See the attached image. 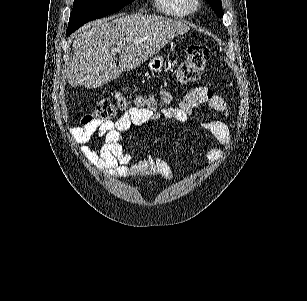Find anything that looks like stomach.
Instances as JSON below:
<instances>
[{"label": "stomach", "instance_id": "stomach-1", "mask_svg": "<svg viewBox=\"0 0 307 301\" xmlns=\"http://www.w3.org/2000/svg\"><path fill=\"white\" fill-rule=\"evenodd\" d=\"M165 64V60L163 56H160V54H157V56H152L150 58L147 66L151 72H161L163 66Z\"/></svg>", "mask_w": 307, "mask_h": 301}]
</instances>
